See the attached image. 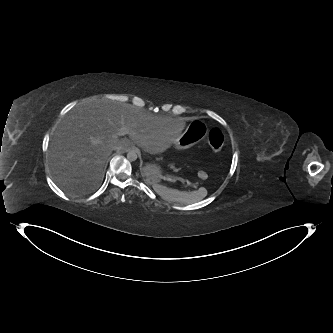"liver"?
<instances>
[{
	"mask_svg": "<svg viewBox=\"0 0 333 333\" xmlns=\"http://www.w3.org/2000/svg\"><path fill=\"white\" fill-rule=\"evenodd\" d=\"M122 126L130 128V140L115 137ZM183 128L178 119L136 105L91 99L61 120L51 137L47 162L58 186L71 194H86L99 187L114 146L123 151L135 143L150 154H160Z\"/></svg>",
	"mask_w": 333,
	"mask_h": 333,
	"instance_id": "obj_1",
	"label": "liver"
}]
</instances>
